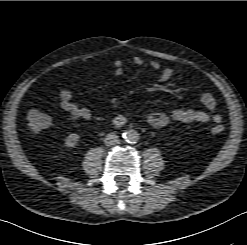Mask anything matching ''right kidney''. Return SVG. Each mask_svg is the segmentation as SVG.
Listing matches in <instances>:
<instances>
[{"label": "right kidney", "mask_w": 247, "mask_h": 245, "mask_svg": "<svg viewBox=\"0 0 247 245\" xmlns=\"http://www.w3.org/2000/svg\"><path fill=\"white\" fill-rule=\"evenodd\" d=\"M80 136L76 133H72L65 139V146L66 147H75L79 142Z\"/></svg>", "instance_id": "right-kidney-1"}]
</instances>
